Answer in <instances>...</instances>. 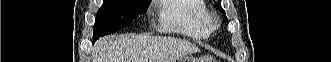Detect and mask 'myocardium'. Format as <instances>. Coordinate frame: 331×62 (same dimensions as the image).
<instances>
[{
	"label": "myocardium",
	"mask_w": 331,
	"mask_h": 62,
	"mask_svg": "<svg viewBox=\"0 0 331 62\" xmlns=\"http://www.w3.org/2000/svg\"><path fill=\"white\" fill-rule=\"evenodd\" d=\"M211 22H212V25L213 26H217L218 25L215 18H211Z\"/></svg>",
	"instance_id": "1"
}]
</instances>
